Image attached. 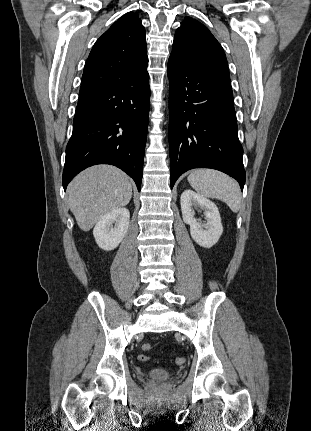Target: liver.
<instances>
[{
	"mask_svg": "<svg viewBox=\"0 0 311 431\" xmlns=\"http://www.w3.org/2000/svg\"><path fill=\"white\" fill-rule=\"evenodd\" d=\"M68 206L83 229L89 231L100 217L127 206L132 198L130 178L114 166H92L68 186Z\"/></svg>",
	"mask_w": 311,
	"mask_h": 431,
	"instance_id": "1",
	"label": "liver"
}]
</instances>
